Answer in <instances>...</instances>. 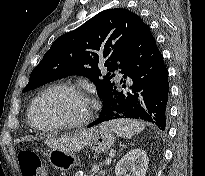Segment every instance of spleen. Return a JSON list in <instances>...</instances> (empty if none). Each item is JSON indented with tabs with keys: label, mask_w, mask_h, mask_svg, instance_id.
Returning <instances> with one entry per match:
<instances>
[{
	"label": "spleen",
	"mask_w": 205,
	"mask_h": 176,
	"mask_svg": "<svg viewBox=\"0 0 205 176\" xmlns=\"http://www.w3.org/2000/svg\"><path fill=\"white\" fill-rule=\"evenodd\" d=\"M104 128L110 129L120 137H130L144 130L145 126L141 121L131 119L112 120L102 124Z\"/></svg>",
	"instance_id": "spleen-1"
}]
</instances>
